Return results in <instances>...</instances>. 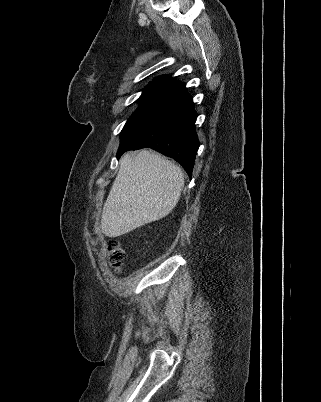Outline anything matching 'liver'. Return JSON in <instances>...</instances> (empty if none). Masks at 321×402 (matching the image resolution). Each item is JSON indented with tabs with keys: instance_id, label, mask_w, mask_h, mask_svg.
Returning <instances> with one entry per match:
<instances>
[{
	"instance_id": "obj_1",
	"label": "liver",
	"mask_w": 321,
	"mask_h": 402,
	"mask_svg": "<svg viewBox=\"0 0 321 402\" xmlns=\"http://www.w3.org/2000/svg\"><path fill=\"white\" fill-rule=\"evenodd\" d=\"M183 186L182 170L161 155L126 153L102 210V233L118 237L164 218L178 203Z\"/></svg>"
}]
</instances>
